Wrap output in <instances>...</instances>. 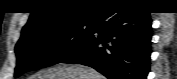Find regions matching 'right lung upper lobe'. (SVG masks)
Returning a JSON list of instances; mask_svg holds the SVG:
<instances>
[{"instance_id": "cb5924a9", "label": "right lung upper lobe", "mask_w": 177, "mask_h": 79, "mask_svg": "<svg viewBox=\"0 0 177 79\" xmlns=\"http://www.w3.org/2000/svg\"><path fill=\"white\" fill-rule=\"evenodd\" d=\"M100 3L91 0H39L34 3L28 23L22 29L25 36L38 29L73 21H93L104 9L114 3ZM131 2V1H126Z\"/></svg>"}]
</instances>
